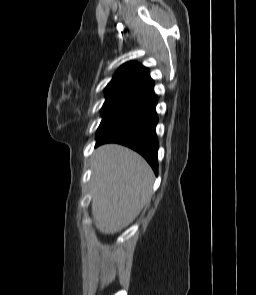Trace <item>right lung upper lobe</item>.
Wrapping results in <instances>:
<instances>
[{
  "label": "right lung upper lobe",
  "mask_w": 256,
  "mask_h": 295,
  "mask_svg": "<svg viewBox=\"0 0 256 295\" xmlns=\"http://www.w3.org/2000/svg\"><path fill=\"white\" fill-rule=\"evenodd\" d=\"M154 86L148 68L136 62L122 65L105 89L106 101L132 100Z\"/></svg>",
  "instance_id": "right-lung-upper-lobe-1"
}]
</instances>
